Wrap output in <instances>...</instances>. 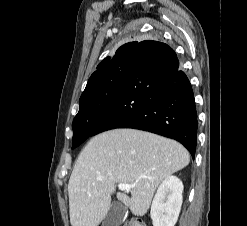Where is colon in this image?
Segmentation results:
<instances>
[{"label":"colon","mask_w":247,"mask_h":226,"mask_svg":"<svg viewBox=\"0 0 247 226\" xmlns=\"http://www.w3.org/2000/svg\"><path fill=\"white\" fill-rule=\"evenodd\" d=\"M122 226H146L143 220L139 218H130Z\"/></svg>","instance_id":"obj_1"}]
</instances>
